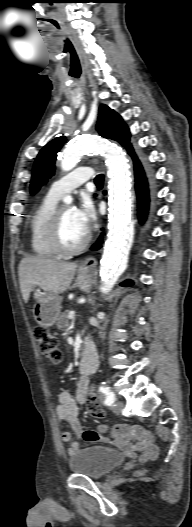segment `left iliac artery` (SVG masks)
<instances>
[{
	"label": "left iliac artery",
	"instance_id": "obj_1",
	"mask_svg": "<svg viewBox=\"0 0 192 527\" xmlns=\"http://www.w3.org/2000/svg\"><path fill=\"white\" fill-rule=\"evenodd\" d=\"M99 391L105 396L104 404L107 406H111L115 401V394L111 391V388L103 383Z\"/></svg>",
	"mask_w": 192,
	"mask_h": 527
}]
</instances>
